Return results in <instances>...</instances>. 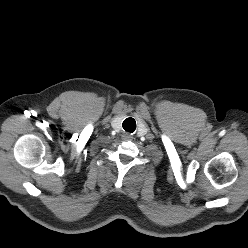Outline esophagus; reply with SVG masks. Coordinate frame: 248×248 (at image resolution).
Listing matches in <instances>:
<instances>
[{
    "label": "esophagus",
    "instance_id": "obj_1",
    "mask_svg": "<svg viewBox=\"0 0 248 248\" xmlns=\"http://www.w3.org/2000/svg\"><path fill=\"white\" fill-rule=\"evenodd\" d=\"M125 138H130L131 136L129 134L124 135Z\"/></svg>",
    "mask_w": 248,
    "mask_h": 248
}]
</instances>
